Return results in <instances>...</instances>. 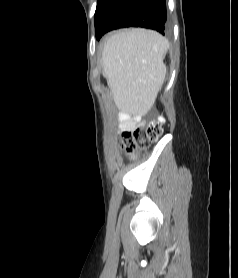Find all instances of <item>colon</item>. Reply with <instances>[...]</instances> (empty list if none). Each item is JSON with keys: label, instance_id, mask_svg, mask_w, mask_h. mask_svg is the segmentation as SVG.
Listing matches in <instances>:
<instances>
[{"label": "colon", "instance_id": "1", "mask_svg": "<svg viewBox=\"0 0 238 278\" xmlns=\"http://www.w3.org/2000/svg\"><path fill=\"white\" fill-rule=\"evenodd\" d=\"M163 132V120L152 122L147 128H136L132 131H124L121 141L122 148L134 158L139 152L146 151Z\"/></svg>", "mask_w": 238, "mask_h": 278}]
</instances>
